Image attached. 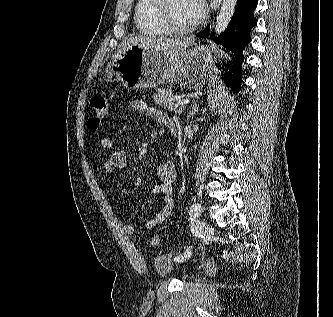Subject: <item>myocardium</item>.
<instances>
[{
	"label": "myocardium",
	"instance_id": "1",
	"mask_svg": "<svg viewBox=\"0 0 333 317\" xmlns=\"http://www.w3.org/2000/svg\"><path fill=\"white\" fill-rule=\"evenodd\" d=\"M170 3L171 0H154L153 12L158 23L170 34L185 36L193 33L198 27V22L187 28L176 26L169 16Z\"/></svg>",
	"mask_w": 333,
	"mask_h": 317
}]
</instances>
